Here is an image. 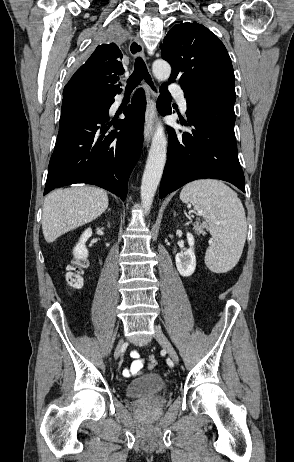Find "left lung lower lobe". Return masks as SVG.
Listing matches in <instances>:
<instances>
[{
    "mask_svg": "<svg viewBox=\"0 0 294 462\" xmlns=\"http://www.w3.org/2000/svg\"><path fill=\"white\" fill-rule=\"evenodd\" d=\"M164 84L157 107L162 115L171 114V97ZM187 122L192 134L177 133L168 127L167 162L159 197L184 184L202 178L228 181L245 192V178L237 156L234 134V102L231 96L206 92L186 97Z\"/></svg>",
    "mask_w": 294,
    "mask_h": 462,
    "instance_id": "left-lung-lower-lobe-1",
    "label": "left lung lower lobe"
}]
</instances>
